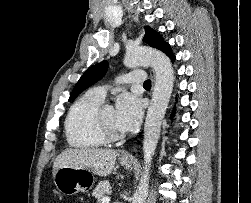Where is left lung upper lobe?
<instances>
[{
  "label": "left lung upper lobe",
  "instance_id": "obj_1",
  "mask_svg": "<svg viewBox=\"0 0 251 203\" xmlns=\"http://www.w3.org/2000/svg\"><path fill=\"white\" fill-rule=\"evenodd\" d=\"M144 28H145V36L143 38V41L148 43L151 47L163 51L164 48L168 45V43H166L160 36V34L155 30L151 29L148 26H145ZM107 69H108V62L102 61L100 63L91 66L88 70H86L85 73L77 82V84L75 85L70 95L69 101L77 97L86 88H88L89 86L93 85L95 82L100 80L105 75Z\"/></svg>",
  "mask_w": 251,
  "mask_h": 203
}]
</instances>
